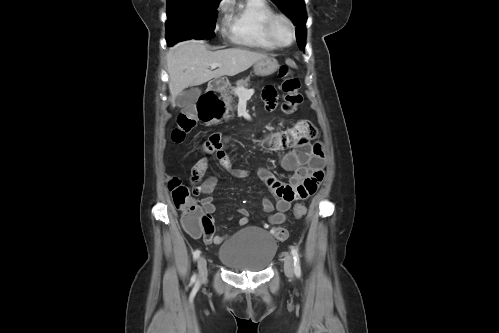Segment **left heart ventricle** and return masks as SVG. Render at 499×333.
<instances>
[{
	"instance_id": "1",
	"label": "left heart ventricle",
	"mask_w": 499,
	"mask_h": 333,
	"mask_svg": "<svg viewBox=\"0 0 499 333\" xmlns=\"http://www.w3.org/2000/svg\"><path fill=\"white\" fill-rule=\"evenodd\" d=\"M274 32L277 38L286 43L290 39V30L288 24L283 20H278L274 26Z\"/></svg>"
}]
</instances>
